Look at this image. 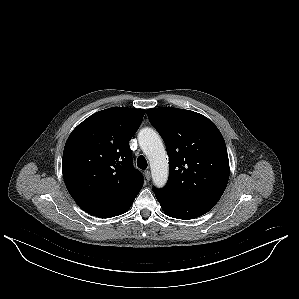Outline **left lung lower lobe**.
I'll use <instances>...</instances> for the list:
<instances>
[{
  "instance_id": "0a47b994",
  "label": "left lung lower lobe",
  "mask_w": 299,
  "mask_h": 299,
  "mask_svg": "<svg viewBox=\"0 0 299 299\" xmlns=\"http://www.w3.org/2000/svg\"><path fill=\"white\" fill-rule=\"evenodd\" d=\"M155 196L160 203L163 211L168 216L185 220L194 219L207 213L217 203L208 200L173 198L162 195L158 192H155Z\"/></svg>"
}]
</instances>
